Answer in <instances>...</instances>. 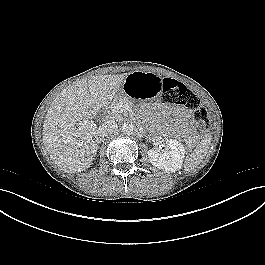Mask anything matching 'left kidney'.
Masks as SVG:
<instances>
[{
	"label": "left kidney",
	"mask_w": 265,
	"mask_h": 265,
	"mask_svg": "<svg viewBox=\"0 0 265 265\" xmlns=\"http://www.w3.org/2000/svg\"><path fill=\"white\" fill-rule=\"evenodd\" d=\"M185 148L176 139H170L167 142L164 152L157 149L148 150V158L150 163L158 169L167 172H176L181 169L185 157Z\"/></svg>",
	"instance_id": "left-kidney-1"
}]
</instances>
